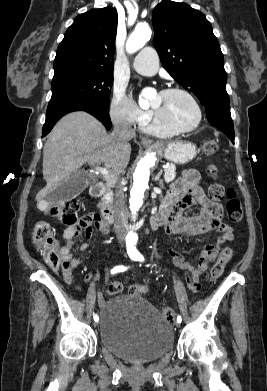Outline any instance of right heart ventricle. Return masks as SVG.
Listing matches in <instances>:
<instances>
[{"label": "right heart ventricle", "instance_id": "e07e8e85", "mask_svg": "<svg viewBox=\"0 0 267 391\" xmlns=\"http://www.w3.org/2000/svg\"><path fill=\"white\" fill-rule=\"evenodd\" d=\"M143 129L148 133H151V134H154V135L160 136V137H169V136H173L174 134H176L170 130H167L165 128H162V127L156 125L154 123V121H150V120L145 125H143Z\"/></svg>", "mask_w": 267, "mask_h": 391}]
</instances>
